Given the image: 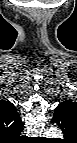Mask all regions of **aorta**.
<instances>
[{
	"instance_id": "1",
	"label": "aorta",
	"mask_w": 77,
	"mask_h": 143,
	"mask_svg": "<svg viewBox=\"0 0 77 143\" xmlns=\"http://www.w3.org/2000/svg\"><path fill=\"white\" fill-rule=\"evenodd\" d=\"M60 131L57 128H51L47 130L46 134L47 135H54L55 133H59Z\"/></svg>"
}]
</instances>
